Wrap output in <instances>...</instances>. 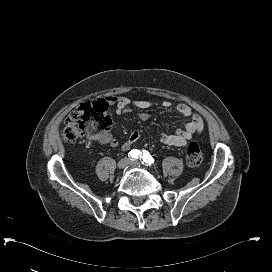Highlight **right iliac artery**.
<instances>
[{
	"label": "right iliac artery",
	"mask_w": 272,
	"mask_h": 272,
	"mask_svg": "<svg viewBox=\"0 0 272 272\" xmlns=\"http://www.w3.org/2000/svg\"><path fill=\"white\" fill-rule=\"evenodd\" d=\"M129 157H131L132 159H137L138 156L141 154L140 150L137 149H133L131 150V152L129 153Z\"/></svg>",
	"instance_id": "82829eb1"
}]
</instances>
